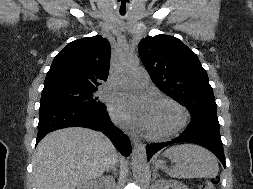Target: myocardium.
I'll use <instances>...</instances> for the list:
<instances>
[{
  "label": "myocardium",
  "instance_id": "myocardium-1",
  "mask_svg": "<svg viewBox=\"0 0 253 189\" xmlns=\"http://www.w3.org/2000/svg\"><path fill=\"white\" fill-rule=\"evenodd\" d=\"M154 104H167L173 107L179 114L177 123L168 131L156 132L150 129H146V135L155 140H165L177 135L181 132L188 124L189 114L186 108L179 102L167 96H160L154 100Z\"/></svg>",
  "mask_w": 253,
  "mask_h": 189
}]
</instances>
